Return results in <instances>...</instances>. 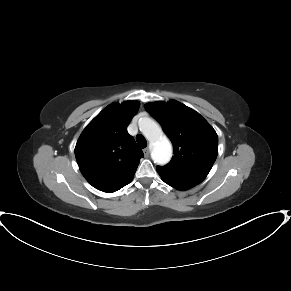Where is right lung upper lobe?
Segmentation results:
<instances>
[{
	"instance_id": "right-lung-upper-lobe-1",
	"label": "right lung upper lobe",
	"mask_w": 291,
	"mask_h": 291,
	"mask_svg": "<svg viewBox=\"0 0 291 291\" xmlns=\"http://www.w3.org/2000/svg\"><path fill=\"white\" fill-rule=\"evenodd\" d=\"M139 103H112L84 129L75 157L85 179L96 189L115 192L129 184L144 156L127 126L137 113Z\"/></svg>"
}]
</instances>
